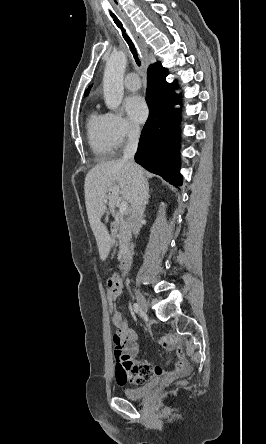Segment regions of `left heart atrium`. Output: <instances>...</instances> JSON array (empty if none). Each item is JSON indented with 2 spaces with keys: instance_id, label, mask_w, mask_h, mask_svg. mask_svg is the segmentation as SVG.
<instances>
[{
  "instance_id": "39dd6f15",
  "label": "left heart atrium",
  "mask_w": 266,
  "mask_h": 444,
  "mask_svg": "<svg viewBox=\"0 0 266 444\" xmlns=\"http://www.w3.org/2000/svg\"><path fill=\"white\" fill-rule=\"evenodd\" d=\"M126 111L135 123L144 122L148 116V106L139 95H132L125 102Z\"/></svg>"
}]
</instances>
